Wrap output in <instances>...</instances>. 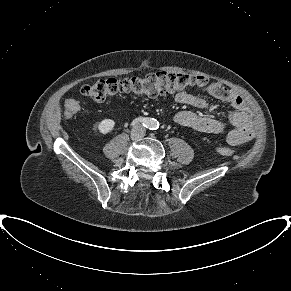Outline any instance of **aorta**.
<instances>
[{
	"instance_id": "1",
	"label": "aorta",
	"mask_w": 291,
	"mask_h": 291,
	"mask_svg": "<svg viewBox=\"0 0 291 291\" xmlns=\"http://www.w3.org/2000/svg\"><path fill=\"white\" fill-rule=\"evenodd\" d=\"M159 123L156 119H151L148 123L149 128L156 129L158 127Z\"/></svg>"
}]
</instances>
